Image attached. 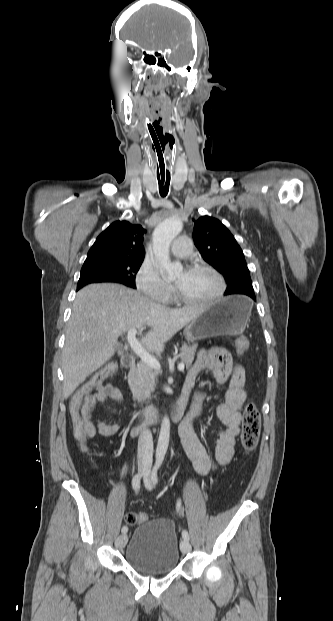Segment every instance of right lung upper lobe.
<instances>
[{
    "label": "right lung upper lobe",
    "mask_w": 333,
    "mask_h": 621,
    "mask_svg": "<svg viewBox=\"0 0 333 621\" xmlns=\"http://www.w3.org/2000/svg\"><path fill=\"white\" fill-rule=\"evenodd\" d=\"M141 225L128 221L113 222L96 239L90 248L86 261L99 259H144Z\"/></svg>",
    "instance_id": "1"
}]
</instances>
